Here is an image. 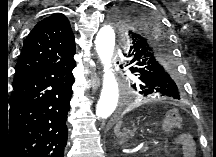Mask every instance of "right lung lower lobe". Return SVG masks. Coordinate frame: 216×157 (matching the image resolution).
Segmentation results:
<instances>
[{
    "label": "right lung lower lobe",
    "mask_w": 216,
    "mask_h": 157,
    "mask_svg": "<svg viewBox=\"0 0 216 157\" xmlns=\"http://www.w3.org/2000/svg\"><path fill=\"white\" fill-rule=\"evenodd\" d=\"M75 65L73 57L61 60L13 85L0 157H64Z\"/></svg>",
    "instance_id": "obj_1"
}]
</instances>
